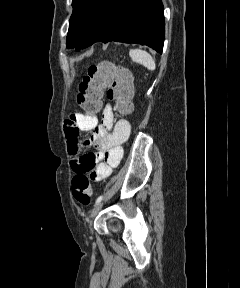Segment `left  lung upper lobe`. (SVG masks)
<instances>
[{
	"instance_id": "obj_1",
	"label": "left lung upper lobe",
	"mask_w": 240,
	"mask_h": 288,
	"mask_svg": "<svg viewBox=\"0 0 240 288\" xmlns=\"http://www.w3.org/2000/svg\"><path fill=\"white\" fill-rule=\"evenodd\" d=\"M109 0H73L67 47L80 50L99 23Z\"/></svg>"
}]
</instances>
